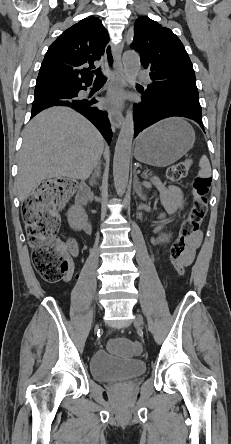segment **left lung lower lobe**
<instances>
[{
  "instance_id": "left-lung-lower-lobe-1",
  "label": "left lung lower lobe",
  "mask_w": 231,
  "mask_h": 444,
  "mask_svg": "<svg viewBox=\"0 0 231 444\" xmlns=\"http://www.w3.org/2000/svg\"><path fill=\"white\" fill-rule=\"evenodd\" d=\"M139 90L142 92V101L134 106L135 137L157 121L174 116L190 118L204 130L199 98L162 90Z\"/></svg>"
}]
</instances>
